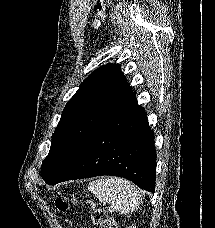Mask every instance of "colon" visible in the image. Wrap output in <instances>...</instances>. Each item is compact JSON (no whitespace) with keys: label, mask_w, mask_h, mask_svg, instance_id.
<instances>
[{"label":"colon","mask_w":215,"mask_h":228,"mask_svg":"<svg viewBox=\"0 0 215 228\" xmlns=\"http://www.w3.org/2000/svg\"><path fill=\"white\" fill-rule=\"evenodd\" d=\"M55 205L63 212L68 210V204L60 198L55 200ZM92 221L96 228H115L114 221L109 212L103 208L93 210Z\"/></svg>","instance_id":"obj_1"}]
</instances>
